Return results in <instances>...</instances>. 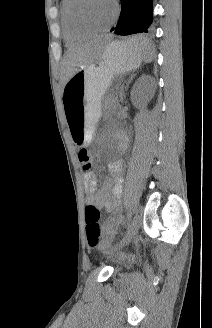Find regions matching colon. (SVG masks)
Masks as SVG:
<instances>
[{
    "label": "colon",
    "instance_id": "obj_1",
    "mask_svg": "<svg viewBox=\"0 0 212 328\" xmlns=\"http://www.w3.org/2000/svg\"><path fill=\"white\" fill-rule=\"evenodd\" d=\"M79 162L81 170H92V157L87 149L82 148L79 151ZM86 216V237L88 245L91 248H104L105 244L101 239V230L99 226L100 212L94 205H87L85 208ZM124 258V257H121Z\"/></svg>",
    "mask_w": 212,
    "mask_h": 328
}]
</instances>
